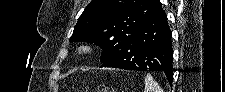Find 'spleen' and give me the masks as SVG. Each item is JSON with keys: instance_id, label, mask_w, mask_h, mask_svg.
<instances>
[{"instance_id": "3e777b00", "label": "spleen", "mask_w": 225, "mask_h": 92, "mask_svg": "<svg viewBox=\"0 0 225 92\" xmlns=\"http://www.w3.org/2000/svg\"><path fill=\"white\" fill-rule=\"evenodd\" d=\"M144 92H163V89L154 80L151 74H147L145 78V90Z\"/></svg>"}]
</instances>
